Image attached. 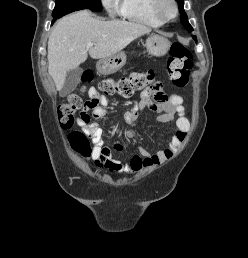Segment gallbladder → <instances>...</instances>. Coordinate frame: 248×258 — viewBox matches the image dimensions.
Segmentation results:
<instances>
[{
    "instance_id": "bac80fb5",
    "label": "gallbladder",
    "mask_w": 248,
    "mask_h": 258,
    "mask_svg": "<svg viewBox=\"0 0 248 258\" xmlns=\"http://www.w3.org/2000/svg\"><path fill=\"white\" fill-rule=\"evenodd\" d=\"M82 72H83V69L79 67L67 72L64 86L60 91L61 96L64 97L69 93H71L73 90H75V88L77 87L80 81Z\"/></svg>"
}]
</instances>
